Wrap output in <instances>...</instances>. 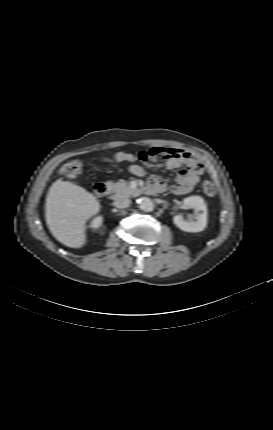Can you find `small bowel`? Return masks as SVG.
Returning a JSON list of instances; mask_svg holds the SVG:
<instances>
[{"mask_svg": "<svg viewBox=\"0 0 273 430\" xmlns=\"http://www.w3.org/2000/svg\"><path fill=\"white\" fill-rule=\"evenodd\" d=\"M114 159L117 162H135L136 160H140L145 166L164 162L165 166L170 170L180 169V174L172 187V192L175 194L190 192L204 172L203 164L191 153L171 147H153L147 151H141L137 156L126 152H117L114 155ZM129 171L137 176L145 174L144 168L137 164L131 165ZM167 189L166 182L160 177L156 175L150 177L149 191L165 192Z\"/></svg>", "mask_w": 273, "mask_h": 430, "instance_id": "small-bowel-1", "label": "small bowel"}]
</instances>
